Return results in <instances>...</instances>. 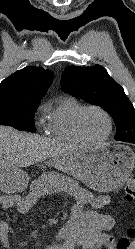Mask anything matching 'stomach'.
<instances>
[{
    "label": "stomach",
    "mask_w": 135,
    "mask_h": 249,
    "mask_svg": "<svg viewBox=\"0 0 135 249\" xmlns=\"http://www.w3.org/2000/svg\"><path fill=\"white\" fill-rule=\"evenodd\" d=\"M48 164L58 172L81 180L91 189L112 192L121 188L130 176L135 165V153L129 146L106 143L69 151L54 157ZM48 177H52L48 188H55L57 180L63 178L58 173H50ZM4 181L18 190L28 182V176L20 168L6 169Z\"/></svg>",
    "instance_id": "stomach-1"
}]
</instances>
